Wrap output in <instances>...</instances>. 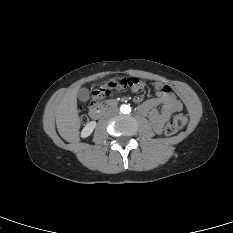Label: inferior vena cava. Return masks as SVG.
I'll list each match as a JSON object with an SVG mask.
<instances>
[{"mask_svg": "<svg viewBox=\"0 0 233 233\" xmlns=\"http://www.w3.org/2000/svg\"><path fill=\"white\" fill-rule=\"evenodd\" d=\"M117 112V109H112V110H110V114H114V113H116Z\"/></svg>", "mask_w": 233, "mask_h": 233, "instance_id": "1", "label": "inferior vena cava"}]
</instances>
